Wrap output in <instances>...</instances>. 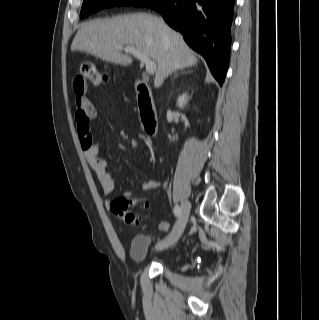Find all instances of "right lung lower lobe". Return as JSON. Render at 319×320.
<instances>
[{"instance_id": "right-lung-lower-lobe-1", "label": "right lung lower lobe", "mask_w": 319, "mask_h": 320, "mask_svg": "<svg viewBox=\"0 0 319 320\" xmlns=\"http://www.w3.org/2000/svg\"><path fill=\"white\" fill-rule=\"evenodd\" d=\"M235 0H152L143 7L157 10L200 53L222 84L228 68Z\"/></svg>"}]
</instances>
